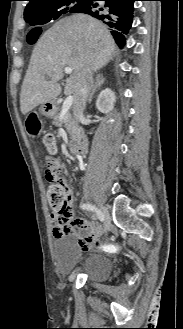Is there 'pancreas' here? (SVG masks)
Masks as SVG:
<instances>
[{"label": "pancreas", "instance_id": "1", "mask_svg": "<svg viewBox=\"0 0 183 329\" xmlns=\"http://www.w3.org/2000/svg\"><path fill=\"white\" fill-rule=\"evenodd\" d=\"M53 124L56 126L63 125L70 137L74 139L77 132L78 122L73 118L70 111L65 114L62 120H60V114L56 112L53 116Z\"/></svg>", "mask_w": 183, "mask_h": 329}]
</instances>
